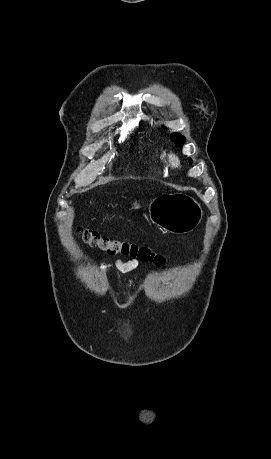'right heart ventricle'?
Returning a JSON list of instances; mask_svg holds the SVG:
<instances>
[{
	"mask_svg": "<svg viewBox=\"0 0 271 459\" xmlns=\"http://www.w3.org/2000/svg\"><path fill=\"white\" fill-rule=\"evenodd\" d=\"M153 160H154V162H158V163L164 164V163H166V156H165L164 154H162V155H155V156L153 157Z\"/></svg>",
	"mask_w": 271,
	"mask_h": 459,
	"instance_id": "e07e8e85",
	"label": "right heart ventricle"
}]
</instances>
